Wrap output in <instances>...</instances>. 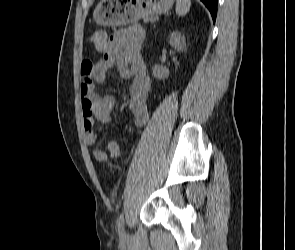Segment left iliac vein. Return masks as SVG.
<instances>
[{"label":"left iliac vein","mask_w":295,"mask_h":250,"mask_svg":"<svg viewBox=\"0 0 295 250\" xmlns=\"http://www.w3.org/2000/svg\"><path fill=\"white\" fill-rule=\"evenodd\" d=\"M119 237H120V239H125V238H127V234H126V232L124 231V229H123V232L119 234Z\"/></svg>","instance_id":"4c4485c4"}]
</instances>
